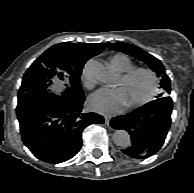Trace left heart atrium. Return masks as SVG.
Instances as JSON below:
<instances>
[{
  "label": "left heart atrium",
  "instance_id": "1",
  "mask_svg": "<svg viewBox=\"0 0 194 193\" xmlns=\"http://www.w3.org/2000/svg\"><path fill=\"white\" fill-rule=\"evenodd\" d=\"M127 105L122 88H101L89 99V106L92 110L113 114L121 111Z\"/></svg>",
  "mask_w": 194,
  "mask_h": 193
}]
</instances>
